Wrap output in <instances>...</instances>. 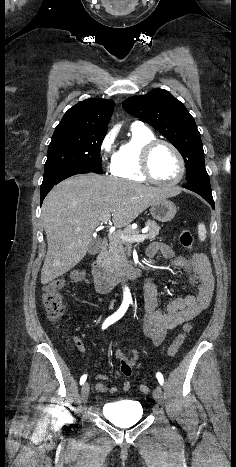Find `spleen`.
<instances>
[{
	"instance_id": "spleen-1",
	"label": "spleen",
	"mask_w": 236,
	"mask_h": 467,
	"mask_svg": "<svg viewBox=\"0 0 236 467\" xmlns=\"http://www.w3.org/2000/svg\"><path fill=\"white\" fill-rule=\"evenodd\" d=\"M206 234H207V231H206V227L203 223H199L198 224V236H199V239L201 241H204L205 238H206Z\"/></svg>"
}]
</instances>
